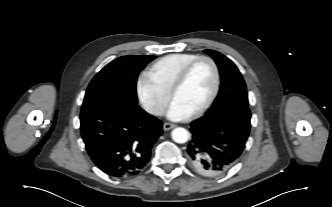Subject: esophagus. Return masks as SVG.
I'll list each match as a JSON object with an SVG mask.
<instances>
[{
  "label": "esophagus",
  "mask_w": 332,
  "mask_h": 207,
  "mask_svg": "<svg viewBox=\"0 0 332 207\" xmlns=\"http://www.w3.org/2000/svg\"><path fill=\"white\" fill-rule=\"evenodd\" d=\"M174 127H176V125H175V124H172V123H164V124H163V129H164L165 131L170 130V129L174 128Z\"/></svg>",
  "instance_id": "esophagus-1"
}]
</instances>
